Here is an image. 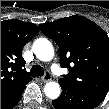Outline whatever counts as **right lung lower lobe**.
Instances as JSON below:
<instances>
[{
  "instance_id": "1",
  "label": "right lung lower lobe",
  "mask_w": 109,
  "mask_h": 109,
  "mask_svg": "<svg viewBox=\"0 0 109 109\" xmlns=\"http://www.w3.org/2000/svg\"><path fill=\"white\" fill-rule=\"evenodd\" d=\"M28 83V82H27ZM27 83L18 86L5 96H1V109H12L19 102Z\"/></svg>"
}]
</instances>
